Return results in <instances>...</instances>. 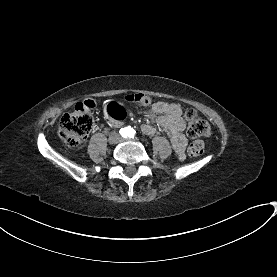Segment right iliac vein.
<instances>
[{"instance_id": "1", "label": "right iliac vein", "mask_w": 277, "mask_h": 277, "mask_svg": "<svg viewBox=\"0 0 277 277\" xmlns=\"http://www.w3.org/2000/svg\"><path fill=\"white\" fill-rule=\"evenodd\" d=\"M117 141H118V137L116 135L110 136L109 138L110 143L114 144V143H117Z\"/></svg>"}]
</instances>
